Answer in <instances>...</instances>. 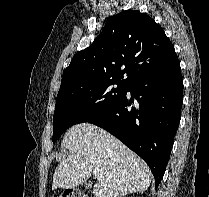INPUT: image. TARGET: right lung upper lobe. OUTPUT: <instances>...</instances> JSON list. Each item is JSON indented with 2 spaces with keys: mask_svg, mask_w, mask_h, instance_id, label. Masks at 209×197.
I'll use <instances>...</instances> for the list:
<instances>
[{
  "mask_svg": "<svg viewBox=\"0 0 209 197\" xmlns=\"http://www.w3.org/2000/svg\"><path fill=\"white\" fill-rule=\"evenodd\" d=\"M175 54L169 38L150 16L126 10L110 17L94 42L75 55L63 73L60 89L106 80L130 85Z\"/></svg>",
  "mask_w": 209,
  "mask_h": 197,
  "instance_id": "obj_1",
  "label": "right lung upper lobe"
}]
</instances>
